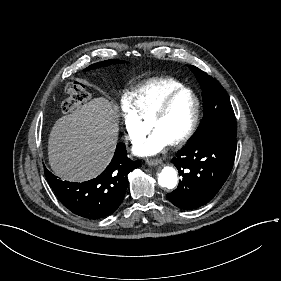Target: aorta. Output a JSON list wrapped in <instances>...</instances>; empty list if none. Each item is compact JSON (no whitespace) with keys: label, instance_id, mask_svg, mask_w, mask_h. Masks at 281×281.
Wrapping results in <instances>:
<instances>
[{"label":"aorta","instance_id":"obj_1","mask_svg":"<svg viewBox=\"0 0 281 281\" xmlns=\"http://www.w3.org/2000/svg\"><path fill=\"white\" fill-rule=\"evenodd\" d=\"M177 180V172L170 166H165L158 176L159 185L167 189H173L177 185Z\"/></svg>","mask_w":281,"mask_h":281}]
</instances>
